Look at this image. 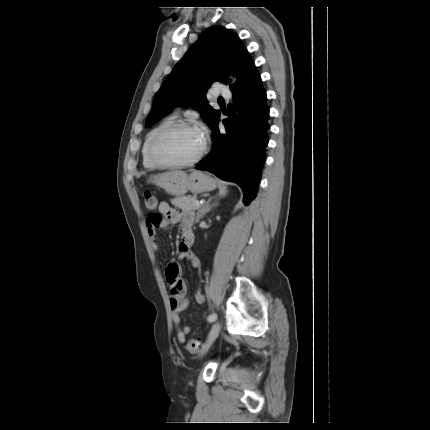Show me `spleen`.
Instances as JSON below:
<instances>
[{
  "label": "spleen",
  "instance_id": "obj_1",
  "mask_svg": "<svg viewBox=\"0 0 430 430\" xmlns=\"http://www.w3.org/2000/svg\"><path fill=\"white\" fill-rule=\"evenodd\" d=\"M221 183H222V181H219V184H221ZM222 192H223V194H225L226 190L222 189Z\"/></svg>",
  "mask_w": 430,
  "mask_h": 430
}]
</instances>
